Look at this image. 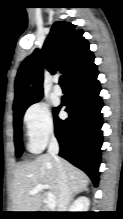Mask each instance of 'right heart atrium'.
<instances>
[{
  "label": "right heart atrium",
  "instance_id": "d8ad5b80",
  "mask_svg": "<svg viewBox=\"0 0 123 219\" xmlns=\"http://www.w3.org/2000/svg\"><path fill=\"white\" fill-rule=\"evenodd\" d=\"M28 147L32 152H40L54 135V123L49 107L36 102L30 105L24 113Z\"/></svg>",
  "mask_w": 123,
  "mask_h": 219
}]
</instances>
